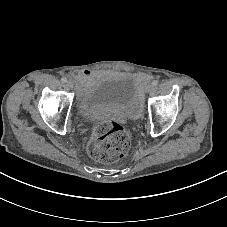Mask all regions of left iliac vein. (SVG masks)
Here are the masks:
<instances>
[{"label": "left iliac vein", "instance_id": "4c4485c4", "mask_svg": "<svg viewBox=\"0 0 227 227\" xmlns=\"http://www.w3.org/2000/svg\"><path fill=\"white\" fill-rule=\"evenodd\" d=\"M153 90V86L152 85H147L146 87V92L149 93Z\"/></svg>", "mask_w": 227, "mask_h": 227}]
</instances>
